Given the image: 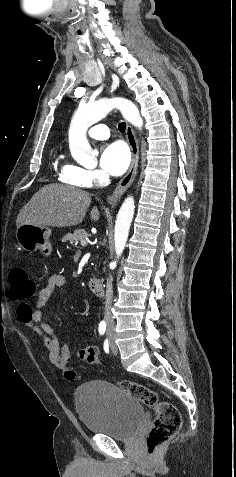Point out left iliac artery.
<instances>
[{"instance_id":"1","label":"left iliac artery","mask_w":236,"mask_h":477,"mask_svg":"<svg viewBox=\"0 0 236 477\" xmlns=\"http://www.w3.org/2000/svg\"><path fill=\"white\" fill-rule=\"evenodd\" d=\"M104 350H105L106 353H108V351H109L108 339H106V340L104 341Z\"/></svg>"}]
</instances>
